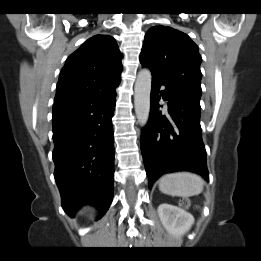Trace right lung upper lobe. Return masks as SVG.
<instances>
[{"label": "right lung upper lobe", "instance_id": "right-lung-upper-lobe-1", "mask_svg": "<svg viewBox=\"0 0 261 261\" xmlns=\"http://www.w3.org/2000/svg\"><path fill=\"white\" fill-rule=\"evenodd\" d=\"M121 58L113 37L95 35L89 38L67 58L54 102L114 89L120 83Z\"/></svg>", "mask_w": 261, "mask_h": 261}]
</instances>
